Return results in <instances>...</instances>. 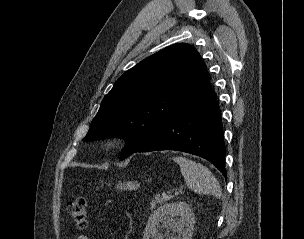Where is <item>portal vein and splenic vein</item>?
I'll return each instance as SVG.
<instances>
[{"label":"portal vein and splenic vein","instance_id":"18ae733b","mask_svg":"<svg viewBox=\"0 0 304 239\" xmlns=\"http://www.w3.org/2000/svg\"><path fill=\"white\" fill-rule=\"evenodd\" d=\"M181 192H182V190L175 191V192H174V195H179V193H181Z\"/></svg>","mask_w":304,"mask_h":239}]
</instances>
